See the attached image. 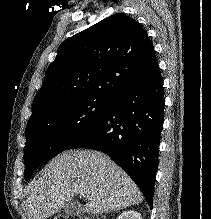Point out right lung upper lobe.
Masks as SVG:
<instances>
[{"instance_id":"obj_1","label":"right lung upper lobe","mask_w":211,"mask_h":219,"mask_svg":"<svg viewBox=\"0 0 211 219\" xmlns=\"http://www.w3.org/2000/svg\"><path fill=\"white\" fill-rule=\"evenodd\" d=\"M158 66L152 42L134 19L109 16L65 40L36 95L31 119L82 98L113 100Z\"/></svg>"}]
</instances>
